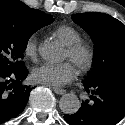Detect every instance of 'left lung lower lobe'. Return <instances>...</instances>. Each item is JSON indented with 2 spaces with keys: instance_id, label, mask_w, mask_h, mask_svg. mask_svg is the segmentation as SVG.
Returning a JSON list of instances; mask_svg holds the SVG:
<instances>
[{
  "instance_id": "1",
  "label": "left lung lower lobe",
  "mask_w": 125,
  "mask_h": 125,
  "mask_svg": "<svg viewBox=\"0 0 125 125\" xmlns=\"http://www.w3.org/2000/svg\"><path fill=\"white\" fill-rule=\"evenodd\" d=\"M90 99L82 102L78 112L64 115L69 125H115L125 116V75L105 76L84 83Z\"/></svg>"
}]
</instances>
